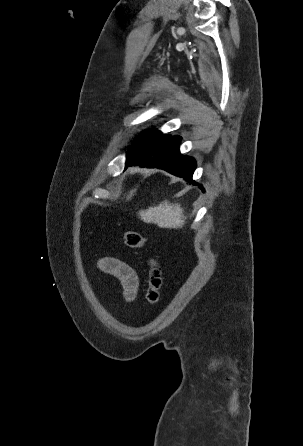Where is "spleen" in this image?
Here are the masks:
<instances>
[{
    "instance_id": "1",
    "label": "spleen",
    "mask_w": 303,
    "mask_h": 446,
    "mask_svg": "<svg viewBox=\"0 0 303 446\" xmlns=\"http://www.w3.org/2000/svg\"><path fill=\"white\" fill-rule=\"evenodd\" d=\"M139 216L145 223H154L160 228H181L186 219L179 204H170L167 201L147 210H141Z\"/></svg>"
}]
</instances>
